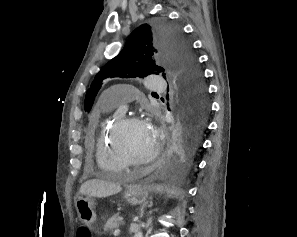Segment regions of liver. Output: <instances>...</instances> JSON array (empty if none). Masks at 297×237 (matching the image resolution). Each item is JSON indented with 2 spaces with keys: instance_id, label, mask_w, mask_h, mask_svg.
I'll return each instance as SVG.
<instances>
[{
  "instance_id": "liver-1",
  "label": "liver",
  "mask_w": 297,
  "mask_h": 237,
  "mask_svg": "<svg viewBox=\"0 0 297 237\" xmlns=\"http://www.w3.org/2000/svg\"><path fill=\"white\" fill-rule=\"evenodd\" d=\"M122 190L119 184H114L99 179L84 182L80 187V194L97 198H106L119 193Z\"/></svg>"
}]
</instances>
